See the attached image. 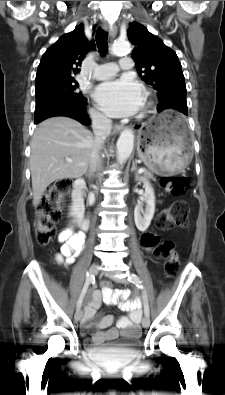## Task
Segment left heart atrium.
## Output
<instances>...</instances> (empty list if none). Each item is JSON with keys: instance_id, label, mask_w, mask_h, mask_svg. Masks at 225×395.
Instances as JSON below:
<instances>
[{"instance_id": "39dd6f15", "label": "left heart atrium", "mask_w": 225, "mask_h": 395, "mask_svg": "<svg viewBox=\"0 0 225 395\" xmlns=\"http://www.w3.org/2000/svg\"><path fill=\"white\" fill-rule=\"evenodd\" d=\"M94 99L109 116L125 117L140 109L143 93L137 81L125 76L100 84L94 91Z\"/></svg>"}]
</instances>
